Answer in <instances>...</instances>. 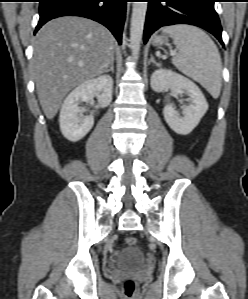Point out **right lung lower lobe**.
Masks as SVG:
<instances>
[{"mask_svg":"<svg viewBox=\"0 0 248 299\" xmlns=\"http://www.w3.org/2000/svg\"><path fill=\"white\" fill-rule=\"evenodd\" d=\"M128 0H40V19L35 33L49 20L61 16H81L106 26L119 44Z\"/></svg>","mask_w":248,"mask_h":299,"instance_id":"1","label":"right lung lower lobe"}]
</instances>
